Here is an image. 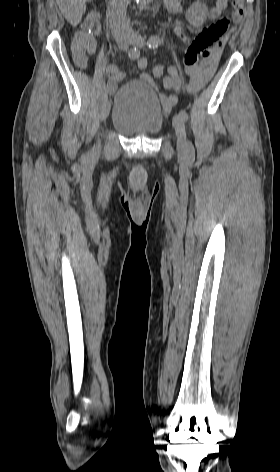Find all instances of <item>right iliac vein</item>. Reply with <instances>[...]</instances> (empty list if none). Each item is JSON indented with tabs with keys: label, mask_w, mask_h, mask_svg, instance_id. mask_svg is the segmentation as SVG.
I'll list each match as a JSON object with an SVG mask.
<instances>
[{
	"label": "right iliac vein",
	"mask_w": 280,
	"mask_h": 472,
	"mask_svg": "<svg viewBox=\"0 0 280 472\" xmlns=\"http://www.w3.org/2000/svg\"><path fill=\"white\" fill-rule=\"evenodd\" d=\"M118 45L121 49L127 50L129 43H130V38L128 36H121L117 39ZM110 111V103L106 99L102 102L101 107H100V120L104 121L109 115ZM100 152V144H97L94 149H93V155H98Z\"/></svg>",
	"instance_id": "obj_1"
}]
</instances>
